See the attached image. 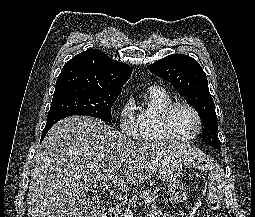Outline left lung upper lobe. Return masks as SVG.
Wrapping results in <instances>:
<instances>
[{
    "label": "left lung upper lobe",
    "mask_w": 255,
    "mask_h": 217,
    "mask_svg": "<svg viewBox=\"0 0 255 217\" xmlns=\"http://www.w3.org/2000/svg\"><path fill=\"white\" fill-rule=\"evenodd\" d=\"M150 72L170 82L197 111L204 124L203 142L221 150L217 141V116L210 95L207 77L192 57L173 54L148 66Z\"/></svg>",
    "instance_id": "1"
}]
</instances>
